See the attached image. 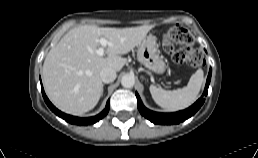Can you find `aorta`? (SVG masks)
I'll list each match as a JSON object with an SVG mask.
<instances>
[{"mask_svg": "<svg viewBox=\"0 0 258 158\" xmlns=\"http://www.w3.org/2000/svg\"><path fill=\"white\" fill-rule=\"evenodd\" d=\"M121 84L125 88H132L135 84V78L132 75H124L121 79Z\"/></svg>", "mask_w": 258, "mask_h": 158, "instance_id": "1", "label": "aorta"}]
</instances>
